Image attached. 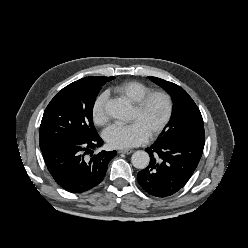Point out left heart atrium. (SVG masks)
<instances>
[{
	"label": "left heart atrium",
	"instance_id": "39dd6f15",
	"mask_svg": "<svg viewBox=\"0 0 248 248\" xmlns=\"http://www.w3.org/2000/svg\"><path fill=\"white\" fill-rule=\"evenodd\" d=\"M105 141L112 148L126 149L146 142L149 132L138 120L130 124H114L103 134Z\"/></svg>",
	"mask_w": 248,
	"mask_h": 248
}]
</instances>
